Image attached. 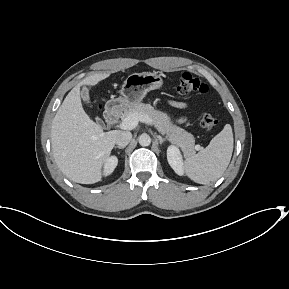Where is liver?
<instances>
[{
    "instance_id": "6515ba94",
    "label": "liver",
    "mask_w": 289,
    "mask_h": 289,
    "mask_svg": "<svg viewBox=\"0 0 289 289\" xmlns=\"http://www.w3.org/2000/svg\"><path fill=\"white\" fill-rule=\"evenodd\" d=\"M110 73H97L84 78L66 96L51 128V147L55 162L70 180L93 184L102 178V167L121 131L103 132L86 114L80 98L82 85H96Z\"/></svg>"
}]
</instances>
